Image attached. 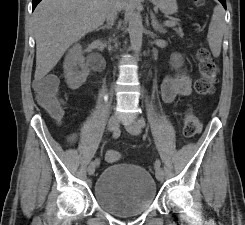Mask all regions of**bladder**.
Returning <instances> with one entry per match:
<instances>
[{
  "label": "bladder",
  "instance_id": "31cf9c89",
  "mask_svg": "<svg viewBox=\"0 0 245 225\" xmlns=\"http://www.w3.org/2000/svg\"><path fill=\"white\" fill-rule=\"evenodd\" d=\"M157 186L146 168L113 164L103 168L93 184V197L105 212L129 217L144 213L157 199Z\"/></svg>",
  "mask_w": 245,
  "mask_h": 225
}]
</instances>
